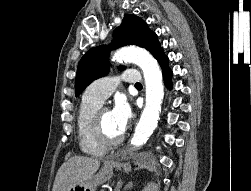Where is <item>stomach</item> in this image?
Instances as JSON below:
<instances>
[{"instance_id": "1", "label": "stomach", "mask_w": 251, "mask_h": 191, "mask_svg": "<svg viewBox=\"0 0 251 191\" xmlns=\"http://www.w3.org/2000/svg\"><path fill=\"white\" fill-rule=\"evenodd\" d=\"M112 165H107L104 163L102 169L93 175L91 181L89 183H85V185H78V183H74L72 187H69V191H96L97 185H101L107 179H110L113 173V167H124V163H119V161H115V159H111Z\"/></svg>"}]
</instances>
